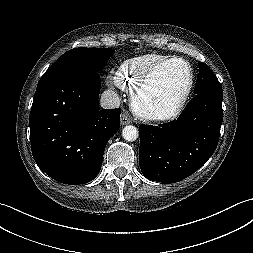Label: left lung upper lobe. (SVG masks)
I'll use <instances>...</instances> for the list:
<instances>
[{
  "label": "left lung upper lobe",
  "mask_w": 253,
  "mask_h": 253,
  "mask_svg": "<svg viewBox=\"0 0 253 253\" xmlns=\"http://www.w3.org/2000/svg\"><path fill=\"white\" fill-rule=\"evenodd\" d=\"M199 74L197 77L194 93L212 92L223 94L222 86L217 77L212 73L209 66L199 62Z\"/></svg>",
  "instance_id": "1"
}]
</instances>
